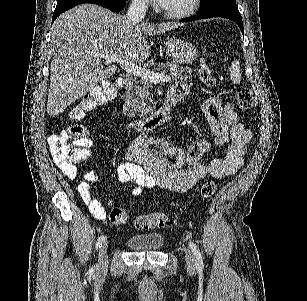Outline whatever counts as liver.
<instances>
[{"mask_svg": "<svg viewBox=\"0 0 307 301\" xmlns=\"http://www.w3.org/2000/svg\"><path fill=\"white\" fill-rule=\"evenodd\" d=\"M177 22H132L99 4H79L54 20L50 30V86L47 112L56 116L101 80L118 70L103 68L104 56L143 62L151 54L144 34L154 36L178 28Z\"/></svg>", "mask_w": 307, "mask_h": 301, "instance_id": "liver-1", "label": "liver"}]
</instances>
